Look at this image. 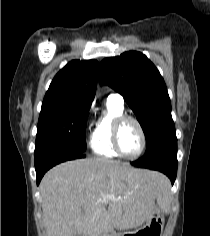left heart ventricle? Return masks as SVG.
Listing matches in <instances>:
<instances>
[{
    "mask_svg": "<svg viewBox=\"0 0 210 236\" xmlns=\"http://www.w3.org/2000/svg\"><path fill=\"white\" fill-rule=\"evenodd\" d=\"M120 146L124 154L135 155L141 147V135L137 125L132 121L123 123L120 131Z\"/></svg>",
    "mask_w": 210,
    "mask_h": 236,
    "instance_id": "obj_1",
    "label": "left heart ventricle"
}]
</instances>
